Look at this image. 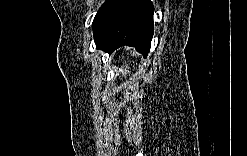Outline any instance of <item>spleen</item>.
<instances>
[{
  "label": "spleen",
  "instance_id": "3e777b00",
  "mask_svg": "<svg viewBox=\"0 0 247 156\" xmlns=\"http://www.w3.org/2000/svg\"><path fill=\"white\" fill-rule=\"evenodd\" d=\"M119 73H121L122 76L126 78L127 74H129V66L123 65L121 68H119Z\"/></svg>",
  "mask_w": 247,
  "mask_h": 156
}]
</instances>
